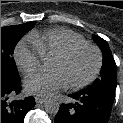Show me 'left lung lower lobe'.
Segmentation results:
<instances>
[{
  "label": "left lung lower lobe",
  "instance_id": "obj_1",
  "mask_svg": "<svg viewBox=\"0 0 123 123\" xmlns=\"http://www.w3.org/2000/svg\"><path fill=\"white\" fill-rule=\"evenodd\" d=\"M70 96L74 103L60 106L55 123H107L114 93L85 89Z\"/></svg>",
  "mask_w": 123,
  "mask_h": 123
}]
</instances>
